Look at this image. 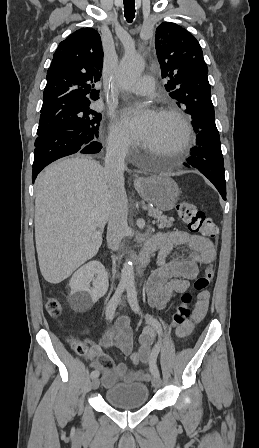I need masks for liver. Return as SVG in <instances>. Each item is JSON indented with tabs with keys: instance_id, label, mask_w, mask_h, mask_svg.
<instances>
[{
	"instance_id": "6515ba94",
	"label": "liver",
	"mask_w": 259,
	"mask_h": 448,
	"mask_svg": "<svg viewBox=\"0 0 259 448\" xmlns=\"http://www.w3.org/2000/svg\"><path fill=\"white\" fill-rule=\"evenodd\" d=\"M113 206L105 168L89 156H69L35 180V240L41 274L60 284L96 256Z\"/></svg>"
}]
</instances>
